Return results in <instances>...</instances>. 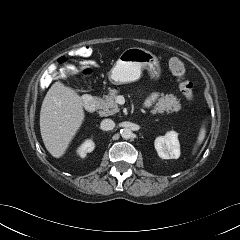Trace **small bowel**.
Segmentation results:
<instances>
[{
  "label": "small bowel",
  "mask_w": 240,
  "mask_h": 240,
  "mask_svg": "<svg viewBox=\"0 0 240 240\" xmlns=\"http://www.w3.org/2000/svg\"><path fill=\"white\" fill-rule=\"evenodd\" d=\"M58 66L56 65V63L51 64L48 69L45 72V76L47 79H53L56 78L58 76ZM159 98V95L157 93H153L151 94L145 101L144 105L145 107H150L152 106Z\"/></svg>",
  "instance_id": "obj_1"
}]
</instances>
